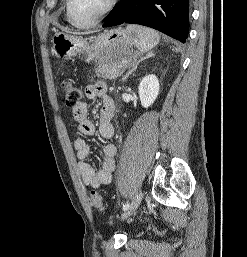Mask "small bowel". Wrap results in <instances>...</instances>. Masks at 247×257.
I'll use <instances>...</instances> for the list:
<instances>
[{
	"label": "small bowel",
	"mask_w": 247,
	"mask_h": 257,
	"mask_svg": "<svg viewBox=\"0 0 247 257\" xmlns=\"http://www.w3.org/2000/svg\"><path fill=\"white\" fill-rule=\"evenodd\" d=\"M85 96L90 100L100 98L102 107L99 115L98 132L104 139H111L114 135L112 118L114 115V103L111 97L106 94V85L102 82L89 85L85 88ZM72 116L77 123L78 130L83 135H93L95 125L89 119L88 106L85 102H79L72 109ZM78 162V170L85 185L97 189L112 182L113 172L116 167L117 147L109 143L104 146V158L100 170H95L87 161L91 148L84 139L78 138L74 141Z\"/></svg>",
	"instance_id": "small-bowel-1"
}]
</instances>
